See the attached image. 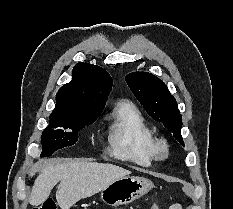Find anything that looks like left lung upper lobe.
Listing matches in <instances>:
<instances>
[{"mask_svg":"<svg viewBox=\"0 0 233 209\" xmlns=\"http://www.w3.org/2000/svg\"><path fill=\"white\" fill-rule=\"evenodd\" d=\"M126 82L147 113L163 123L184 146L181 136L182 118L175 98L165 83L155 75L146 72H132Z\"/></svg>","mask_w":233,"mask_h":209,"instance_id":"5c2ea615","label":"left lung upper lobe"}]
</instances>
